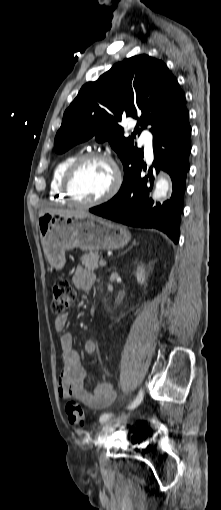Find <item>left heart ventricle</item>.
I'll list each match as a JSON object with an SVG mask.
<instances>
[{"mask_svg": "<svg viewBox=\"0 0 221 510\" xmlns=\"http://www.w3.org/2000/svg\"><path fill=\"white\" fill-rule=\"evenodd\" d=\"M113 183L114 172L110 164L103 160H90L75 174L71 189L77 199L93 201L106 194Z\"/></svg>", "mask_w": 221, "mask_h": 510, "instance_id": "left-heart-ventricle-1", "label": "left heart ventricle"}]
</instances>
